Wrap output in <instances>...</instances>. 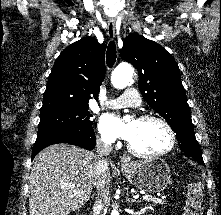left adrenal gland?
Masks as SVG:
<instances>
[{
    "mask_svg": "<svg viewBox=\"0 0 221 215\" xmlns=\"http://www.w3.org/2000/svg\"><path fill=\"white\" fill-rule=\"evenodd\" d=\"M128 201L129 202H137V200H134V199L130 200L129 198H128Z\"/></svg>",
    "mask_w": 221,
    "mask_h": 215,
    "instance_id": "a2214340",
    "label": "left adrenal gland"
}]
</instances>
